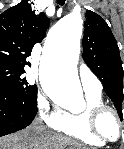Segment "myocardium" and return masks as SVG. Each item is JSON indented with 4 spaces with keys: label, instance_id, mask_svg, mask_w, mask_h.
<instances>
[{
    "label": "myocardium",
    "instance_id": "f54148a6",
    "mask_svg": "<svg viewBox=\"0 0 124 149\" xmlns=\"http://www.w3.org/2000/svg\"><path fill=\"white\" fill-rule=\"evenodd\" d=\"M107 113L112 114L118 124V135L115 139H110L100 129L99 125L100 120ZM87 114H88V124L91 133L104 143L118 142L124 136V122L120 117L119 113L117 112V110L114 109L113 107L104 103L94 105L88 109Z\"/></svg>",
    "mask_w": 124,
    "mask_h": 149
}]
</instances>
